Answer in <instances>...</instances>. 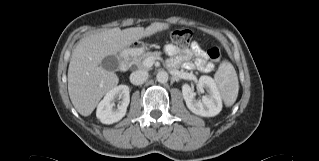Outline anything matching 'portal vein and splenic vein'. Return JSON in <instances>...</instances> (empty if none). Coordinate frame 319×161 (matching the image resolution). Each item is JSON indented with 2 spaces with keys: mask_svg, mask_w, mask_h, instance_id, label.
<instances>
[{
  "mask_svg": "<svg viewBox=\"0 0 319 161\" xmlns=\"http://www.w3.org/2000/svg\"><path fill=\"white\" fill-rule=\"evenodd\" d=\"M152 60H153L152 58H147V59L145 60V63H144V64H145L146 66H151V65H152Z\"/></svg>",
  "mask_w": 319,
  "mask_h": 161,
  "instance_id": "18ae733b",
  "label": "portal vein and splenic vein"
}]
</instances>
